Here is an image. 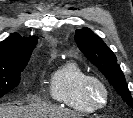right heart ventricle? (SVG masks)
<instances>
[{
  "label": "right heart ventricle",
  "instance_id": "1",
  "mask_svg": "<svg viewBox=\"0 0 133 118\" xmlns=\"http://www.w3.org/2000/svg\"><path fill=\"white\" fill-rule=\"evenodd\" d=\"M88 76L75 62L62 64L50 77L49 92L52 99L78 113H94L95 110L86 102L83 94V83Z\"/></svg>",
  "mask_w": 133,
  "mask_h": 118
}]
</instances>
